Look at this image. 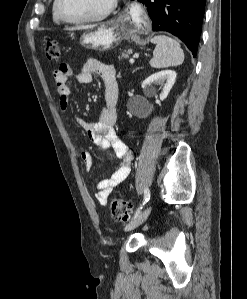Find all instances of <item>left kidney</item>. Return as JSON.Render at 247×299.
<instances>
[{
	"mask_svg": "<svg viewBox=\"0 0 247 299\" xmlns=\"http://www.w3.org/2000/svg\"><path fill=\"white\" fill-rule=\"evenodd\" d=\"M176 77L177 73L174 70L160 71L145 79V81L143 82V86L150 87L152 85H160L162 87L160 98L165 99L172 89Z\"/></svg>",
	"mask_w": 247,
	"mask_h": 299,
	"instance_id": "left-kidney-1",
	"label": "left kidney"
}]
</instances>
